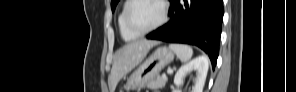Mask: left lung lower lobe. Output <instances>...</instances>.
Returning <instances> with one entry per match:
<instances>
[{"label": "left lung lower lobe", "mask_w": 296, "mask_h": 92, "mask_svg": "<svg viewBox=\"0 0 296 92\" xmlns=\"http://www.w3.org/2000/svg\"><path fill=\"white\" fill-rule=\"evenodd\" d=\"M171 20L151 32L147 39L196 45L215 67L221 35L223 0H170Z\"/></svg>", "instance_id": "1"}]
</instances>
